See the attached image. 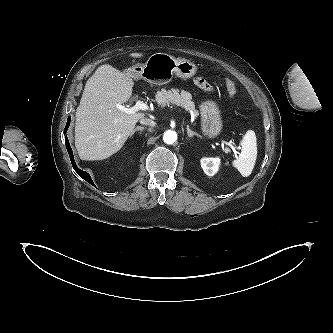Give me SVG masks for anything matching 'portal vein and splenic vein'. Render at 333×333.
I'll return each mask as SVG.
<instances>
[{
    "label": "portal vein and splenic vein",
    "instance_id": "obj_1",
    "mask_svg": "<svg viewBox=\"0 0 333 333\" xmlns=\"http://www.w3.org/2000/svg\"><path fill=\"white\" fill-rule=\"evenodd\" d=\"M116 108L119 109V110H121V111H123V112H125L126 114H133V113H135V112H137L139 110L146 111V110H148L149 107H148L147 104H145L142 101L138 100L136 102V104L133 107H131V108H126L125 106H123L121 104H118L116 106ZM224 144H227V143L223 141L222 145H224ZM236 149H237L236 147H232L233 153L235 155L239 154ZM229 151H230V149H228V148L225 149V152H229Z\"/></svg>",
    "mask_w": 333,
    "mask_h": 333
}]
</instances>
